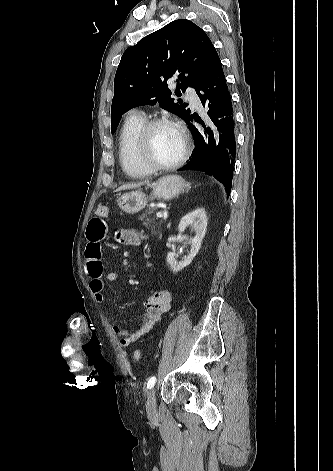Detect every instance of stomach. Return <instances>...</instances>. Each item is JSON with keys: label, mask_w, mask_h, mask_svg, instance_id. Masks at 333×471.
<instances>
[{"label": "stomach", "mask_w": 333, "mask_h": 471, "mask_svg": "<svg viewBox=\"0 0 333 471\" xmlns=\"http://www.w3.org/2000/svg\"><path fill=\"white\" fill-rule=\"evenodd\" d=\"M187 183L179 175H166L158 179L152 186L151 199L170 200L178 196ZM148 203V196L141 191L125 193L117 199V204L121 210L128 214H135L144 209Z\"/></svg>", "instance_id": "obj_1"}]
</instances>
